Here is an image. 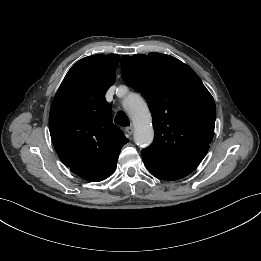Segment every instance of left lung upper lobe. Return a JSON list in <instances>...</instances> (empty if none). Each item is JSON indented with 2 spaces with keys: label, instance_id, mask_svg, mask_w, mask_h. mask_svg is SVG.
Segmentation results:
<instances>
[{
  "label": "left lung upper lobe",
  "instance_id": "left-lung-upper-lobe-1",
  "mask_svg": "<svg viewBox=\"0 0 261 261\" xmlns=\"http://www.w3.org/2000/svg\"><path fill=\"white\" fill-rule=\"evenodd\" d=\"M123 80L146 99L155 139L142 157L193 171L213 139L216 106L197 74L175 57L160 53L121 57Z\"/></svg>",
  "mask_w": 261,
  "mask_h": 261
}]
</instances>
